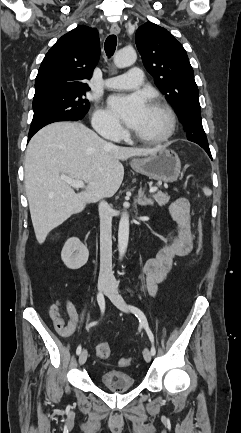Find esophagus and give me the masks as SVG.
<instances>
[{
    "instance_id": "obj_1",
    "label": "esophagus",
    "mask_w": 241,
    "mask_h": 433,
    "mask_svg": "<svg viewBox=\"0 0 241 433\" xmlns=\"http://www.w3.org/2000/svg\"><path fill=\"white\" fill-rule=\"evenodd\" d=\"M110 32L112 34H119L120 33V28L117 24H112L111 28H110Z\"/></svg>"
}]
</instances>
